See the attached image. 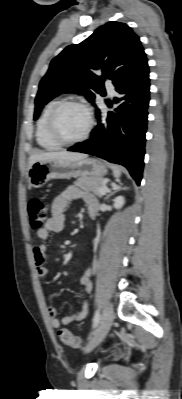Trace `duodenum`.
I'll list each match as a JSON object with an SVG mask.
<instances>
[{"mask_svg": "<svg viewBox=\"0 0 182 399\" xmlns=\"http://www.w3.org/2000/svg\"><path fill=\"white\" fill-rule=\"evenodd\" d=\"M90 218L94 219L97 215V210L89 209L88 211Z\"/></svg>", "mask_w": 182, "mask_h": 399, "instance_id": "410a0bca", "label": "duodenum"}]
</instances>
